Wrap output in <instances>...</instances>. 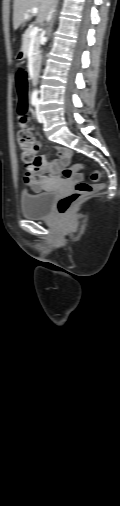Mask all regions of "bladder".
Wrapping results in <instances>:
<instances>
[{"label":"bladder","instance_id":"1","mask_svg":"<svg viewBox=\"0 0 120 506\" xmlns=\"http://www.w3.org/2000/svg\"><path fill=\"white\" fill-rule=\"evenodd\" d=\"M55 191L32 194L22 192L19 197L22 215L29 219H43L49 216Z\"/></svg>","mask_w":120,"mask_h":506}]
</instances>
